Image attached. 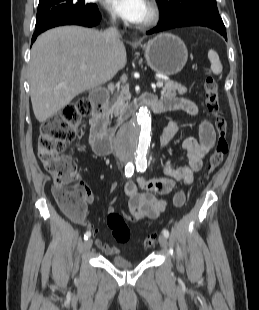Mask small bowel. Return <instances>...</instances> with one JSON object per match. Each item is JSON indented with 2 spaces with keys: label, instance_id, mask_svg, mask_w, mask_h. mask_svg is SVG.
<instances>
[{
  "label": "small bowel",
  "instance_id": "obj_1",
  "mask_svg": "<svg viewBox=\"0 0 259 310\" xmlns=\"http://www.w3.org/2000/svg\"><path fill=\"white\" fill-rule=\"evenodd\" d=\"M165 111L182 110L190 115H196L198 112L197 105L185 98L167 97L159 101ZM180 127L179 122H172L163 131L161 136V146L164 148ZM216 138V132L213 125L208 121H203L199 125V140L189 137L186 138L182 147L186 152L188 163L186 165L175 167L171 159L164 162V177L156 179L137 178L136 181H128L124 186V192L128 197L129 212L125 214L127 220L138 222L144 219H158L167 209L166 201L158 199L156 195H165L170 193L176 186L177 182L185 185L194 183L195 174L200 171L203 160L208 152L213 148ZM88 202L93 201L91 190L85 185ZM110 190L115 188V183H111ZM142 189L143 192H140ZM185 203V194L177 192L172 201L174 208H180ZM114 211L112 206L109 212ZM80 225H86L84 217L76 221ZM98 229H93V234L97 235ZM95 245L107 255H116L119 249L116 246L105 243L102 239L97 238Z\"/></svg>",
  "mask_w": 259,
  "mask_h": 310
}]
</instances>
